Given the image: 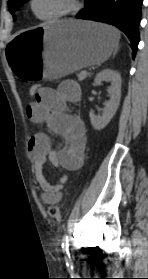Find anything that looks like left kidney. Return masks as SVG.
Wrapping results in <instances>:
<instances>
[{"mask_svg": "<svg viewBox=\"0 0 148 279\" xmlns=\"http://www.w3.org/2000/svg\"><path fill=\"white\" fill-rule=\"evenodd\" d=\"M102 81H107L111 83L108 88V94L110 96L109 101L104 104V111L102 115H95L94 112H90L89 117L91 124L94 129L102 130L105 128L110 120L115 115L120 99H121V75L112 69H105L98 73L95 77V84L101 85Z\"/></svg>", "mask_w": 148, "mask_h": 279, "instance_id": "5707ae66", "label": "left kidney"}]
</instances>
